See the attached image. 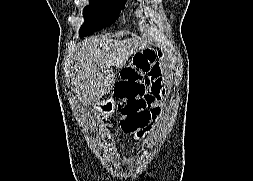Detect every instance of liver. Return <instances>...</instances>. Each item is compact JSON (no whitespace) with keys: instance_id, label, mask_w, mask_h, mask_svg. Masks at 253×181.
Returning <instances> with one entry per match:
<instances>
[{"instance_id":"obj_1","label":"liver","mask_w":253,"mask_h":181,"mask_svg":"<svg viewBox=\"0 0 253 181\" xmlns=\"http://www.w3.org/2000/svg\"><path fill=\"white\" fill-rule=\"evenodd\" d=\"M146 47L147 42L135 38L118 41L102 36L83 41L75 55L76 93L84 102L99 101L115 83L112 67H124L130 56Z\"/></svg>"}]
</instances>
